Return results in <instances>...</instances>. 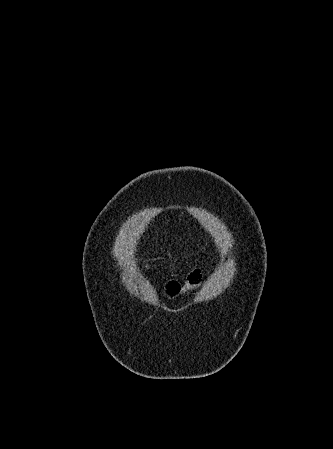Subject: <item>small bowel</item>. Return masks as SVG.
Segmentation results:
<instances>
[{
    "label": "small bowel",
    "mask_w": 333,
    "mask_h": 449,
    "mask_svg": "<svg viewBox=\"0 0 333 449\" xmlns=\"http://www.w3.org/2000/svg\"><path fill=\"white\" fill-rule=\"evenodd\" d=\"M203 275L204 273L201 268L193 269L189 272L183 286H181L178 282H171L166 287V296L172 299L181 294H189L194 292L202 281Z\"/></svg>",
    "instance_id": "small-bowel-1"
}]
</instances>
